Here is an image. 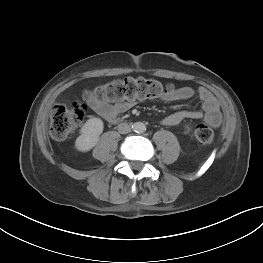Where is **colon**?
<instances>
[{
  "instance_id": "5ec220e1",
  "label": "colon",
  "mask_w": 263,
  "mask_h": 263,
  "mask_svg": "<svg viewBox=\"0 0 263 263\" xmlns=\"http://www.w3.org/2000/svg\"><path fill=\"white\" fill-rule=\"evenodd\" d=\"M173 87L169 84L143 77H128L114 80L95 88L87 96L104 102H125L145 99H155L170 93ZM85 108L80 103L71 105H56L51 111L50 133L57 140L66 139L82 123ZM197 140L210 144L214 140V132L206 124H198L195 128Z\"/></svg>"
}]
</instances>
